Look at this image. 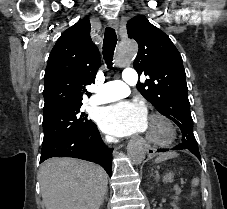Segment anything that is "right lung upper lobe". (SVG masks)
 Masks as SVG:
<instances>
[{
  "mask_svg": "<svg viewBox=\"0 0 227 209\" xmlns=\"http://www.w3.org/2000/svg\"><path fill=\"white\" fill-rule=\"evenodd\" d=\"M89 19L64 31L52 49L44 76V100H82L85 85L94 82L100 54L90 37Z\"/></svg>",
  "mask_w": 227,
  "mask_h": 209,
  "instance_id": "1",
  "label": "right lung upper lobe"
}]
</instances>
